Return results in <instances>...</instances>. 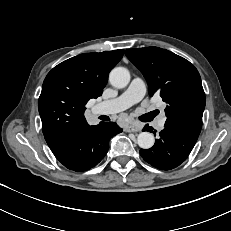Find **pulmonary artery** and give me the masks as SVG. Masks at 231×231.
I'll list each match as a JSON object with an SVG mask.
<instances>
[{
	"mask_svg": "<svg viewBox=\"0 0 231 231\" xmlns=\"http://www.w3.org/2000/svg\"><path fill=\"white\" fill-rule=\"evenodd\" d=\"M146 93V86L142 79L134 78L129 87L118 97L103 101L93 108L95 114H115L121 112L142 100ZM166 121L165 114L158 120V128L162 129Z\"/></svg>",
	"mask_w": 231,
	"mask_h": 231,
	"instance_id": "e3ab8cb5",
	"label": "pulmonary artery"
}]
</instances>
